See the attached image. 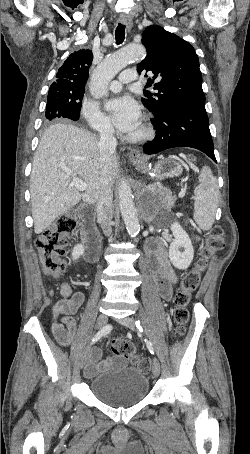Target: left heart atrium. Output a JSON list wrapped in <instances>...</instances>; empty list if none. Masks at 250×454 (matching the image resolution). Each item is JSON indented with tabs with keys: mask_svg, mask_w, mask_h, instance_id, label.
Instances as JSON below:
<instances>
[{
	"mask_svg": "<svg viewBox=\"0 0 250 454\" xmlns=\"http://www.w3.org/2000/svg\"><path fill=\"white\" fill-rule=\"evenodd\" d=\"M105 109L114 125L122 132L129 133L140 124V108L129 96H118L106 102Z\"/></svg>",
	"mask_w": 250,
	"mask_h": 454,
	"instance_id": "left-heart-atrium-1",
	"label": "left heart atrium"
}]
</instances>
